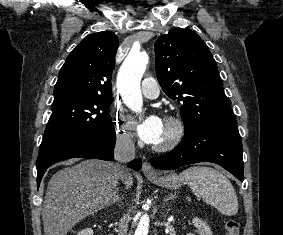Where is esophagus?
<instances>
[{
	"label": "esophagus",
	"mask_w": 283,
	"mask_h": 235,
	"mask_svg": "<svg viewBox=\"0 0 283 235\" xmlns=\"http://www.w3.org/2000/svg\"><path fill=\"white\" fill-rule=\"evenodd\" d=\"M142 172L145 175H153L155 174V171L153 169V167L151 166V164L149 162H144L142 165Z\"/></svg>",
	"instance_id": "esophagus-1"
}]
</instances>
